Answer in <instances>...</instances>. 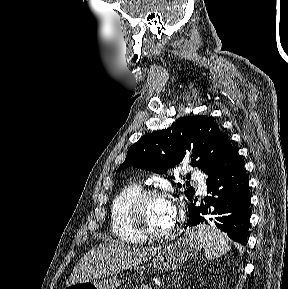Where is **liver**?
<instances>
[{"instance_id": "1", "label": "liver", "mask_w": 288, "mask_h": 289, "mask_svg": "<svg viewBox=\"0 0 288 289\" xmlns=\"http://www.w3.org/2000/svg\"><path fill=\"white\" fill-rule=\"evenodd\" d=\"M161 247L137 248L120 242L99 244L74 267L66 286L117 274L147 262Z\"/></svg>"}]
</instances>
